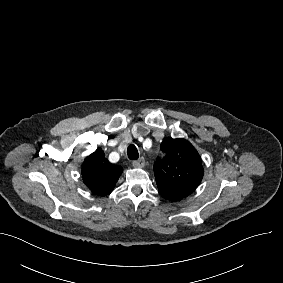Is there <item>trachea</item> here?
<instances>
[{"label": "trachea", "instance_id": "3493384b", "mask_svg": "<svg viewBox=\"0 0 283 283\" xmlns=\"http://www.w3.org/2000/svg\"><path fill=\"white\" fill-rule=\"evenodd\" d=\"M128 158L130 160H137L139 158V153L135 145L130 144L127 148Z\"/></svg>", "mask_w": 283, "mask_h": 283}]
</instances>
